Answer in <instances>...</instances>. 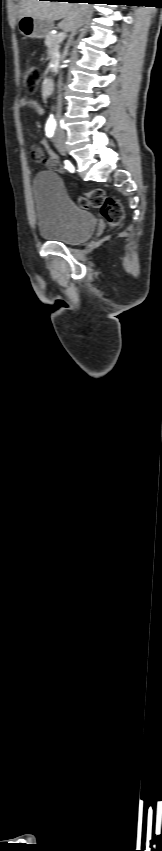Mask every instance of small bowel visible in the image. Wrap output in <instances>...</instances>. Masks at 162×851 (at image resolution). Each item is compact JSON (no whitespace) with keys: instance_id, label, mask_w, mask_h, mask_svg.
I'll use <instances>...</instances> for the list:
<instances>
[{"instance_id":"small-bowel-1","label":"small bowel","mask_w":162,"mask_h":851,"mask_svg":"<svg viewBox=\"0 0 162 851\" xmlns=\"http://www.w3.org/2000/svg\"><path fill=\"white\" fill-rule=\"evenodd\" d=\"M20 106H21L22 108H28V109H31V108H32V109H35V110H36V112H37L39 115H42V114L44 113L43 108H42V107H40V106H39V105L35 102V100H33V99H31V98H22V99L20 100ZM41 144H42L44 147H47V142H46V140H44V139H43V140H41ZM31 153H32V156H33L34 160H35L37 163H39V164H41V165H44V166H46V167H48V168H50V169H53V170H60V169H61V166H60L59 160H58L57 156H56L54 153L50 152V153H49V155H48V157H46V156H45V154H44V151L42 150V148H40V147H38V146H33V147H32V149H31Z\"/></svg>"}]
</instances>
